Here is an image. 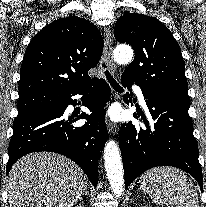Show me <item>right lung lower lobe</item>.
<instances>
[{
  "instance_id": "1",
  "label": "right lung lower lobe",
  "mask_w": 206,
  "mask_h": 207,
  "mask_svg": "<svg viewBox=\"0 0 206 207\" xmlns=\"http://www.w3.org/2000/svg\"><path fill=\"white\" fill-rule=\"evenodd\" d=\"M85 92L89 94L83 104L92 114L82 112L68 115L67 106L76 105V100L71 97ZM59 97L58 108L37 111L15 119L6 172L8 174L12 165L28 153L49 151L73 160L96 186L97 163L108 138L104 106L109 100L110 88L104 80L94 79L86 85L59 94ZM80 119L87 122L81 127L72 125Z\"/></svg>"
}]
</instances>
